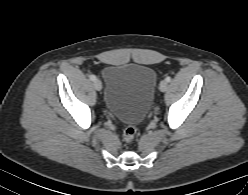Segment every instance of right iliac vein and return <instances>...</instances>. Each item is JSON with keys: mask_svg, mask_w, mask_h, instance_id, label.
I'll return each mask as SVG.
<instances>
[{"mask_svg": "<svg viewBox=\"0 0 248 195\" xmlns=\"http://www.w3.org/2000/svg\"><path fill=\"white\" fill-rule=\"evenodd\" d=\"M93 85H94V88L98 91H100L102 89V83L100 80H95Z\"/></svg>", "mask_w": 248, "mask_h": 195, "instance_id": "1", "label": "right iliac vein"}]
</instances>
